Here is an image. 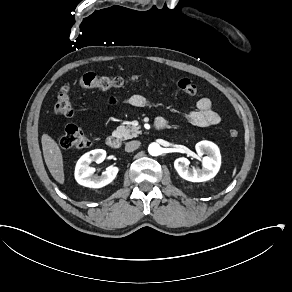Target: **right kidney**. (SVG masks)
I'll return each instance as SVG.
<instances>
[{
  "label": "right kidney",
  "instance_id": "ca27d5eb",
  "mask_svg": "<svg viewBox=\"0 0 292 292\" xmlns=\"http://www.w3.org/2000/svg\"><path fill=\"white\" fill-rule=\"evenodd\" d=\"M106 157V151L95 149L85 153L78 161L75 167V179L83 186L90 188H101L111 183L118 173L117 167L107 169L101 176L93 175L95 168L90 167V163L95 161L101 163Z\"/></svg>",
  "mask_w": 292,
  "mask_h": 292
}]
</instances>
